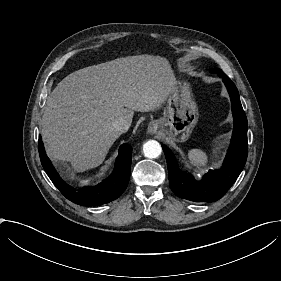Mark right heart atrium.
<instances>
[{"label": "right heart atrium", "instance_id": "right-heart-atrium-1", "mask_svg": "<svg viewBox=\"0 0 281 281\" xmlns=\"http://www.w3.org/2000/svg\"><path fill=\"white\" fill-rule=\"evenodd\" d=\"M118 112L123 116L127 114V112L122 111V109H120V108L118 109Z\"/></svg>", "mask_w": 281, "mask_h": 281}]
</instances>
